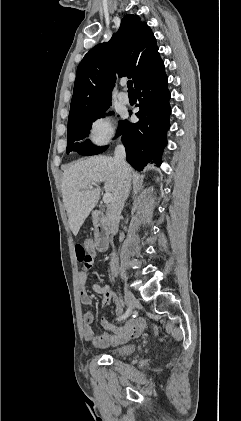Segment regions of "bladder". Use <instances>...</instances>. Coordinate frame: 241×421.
I'll use <instances>...</instances> for the list:
<instances>
[{
	"mask_svg": "<svg viewBox=\"0 0 241 421\" xmlns=\"http://www.w3.org/2000/svg\"><path fill=\"white\" fill-rule=\"evenodd\" d=\"M138 349L136 344H128L124 346L117 347L108 352V355L118 358L127 357L133 354Z\"/></svg>",
	"mask_w": 241,
	"mask_h": 421,
	"instance_id": "1",
	"label": "bladder"
}]
</instances>
